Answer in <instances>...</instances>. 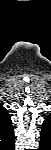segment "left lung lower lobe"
Listing matches in <instances>:
<instances>
[{
	"instance_id": "1",
	"label": "left lung lower lobe",
	"mask_w": 51,
	"mask_h": 150,
	"mask_svg": "<svg viewBox=\"0 0 51 150\" xmlns=\"http://www.w3.org/2000/svg\"><path fill=\"white\" fill-rule=\"evenodd\" d=\"M51 135V134H50ZM50 135H45L44 131L40 134V146L44 147L50 142Z\"/></svg>"
}]
</instances>
